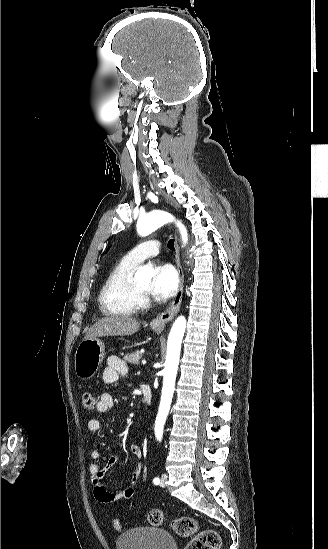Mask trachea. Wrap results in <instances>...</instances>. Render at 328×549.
I'll return each mask as SVG.
<instances>
[{
	"label": "trachea",
	"instance_id": "obj_1",
	"mask_svg": "<svg viewBox=\"0 0 328 549\" xmlns=\"http://www.w3.org/2000/svg\"><path fill=\"white\" fill-rule=\"evenodd\" d=\"M168 248H169L170 250H175V247H174V239H170V240L168 241Z\"/></svg>",
	"mask_w": 328,
	"mask_h": 549
}]
</instances>
